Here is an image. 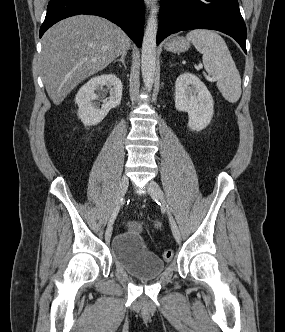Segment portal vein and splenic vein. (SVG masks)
<instances>
[{"instance_id": "obj_1", "label": "portal vein and splenic vein", "mask_w": 285, "mask_h": 332, "mask_svg": "<svg viewBox=\"0 0 285 332\" xmlns=\"http://www.w3.org/2000/svg\"><path fill=\"white\" fill-rule=\"evenodd\" d=\"M199 67L201 68L202 67V65H199ZM214 80V79H213Z\"/></svg>"}]
</instances>
